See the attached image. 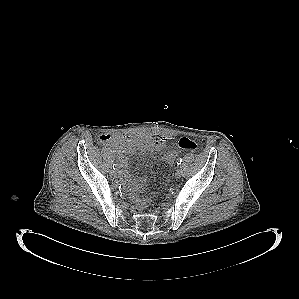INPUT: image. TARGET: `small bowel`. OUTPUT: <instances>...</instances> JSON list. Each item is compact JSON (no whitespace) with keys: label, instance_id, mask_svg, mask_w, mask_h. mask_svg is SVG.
I'll return each instance as SVG.
<instances>
[{"label":"small bowel","instance_id":"obj_1","mask_svg":"<svg viewBox=\"0 0 299 299\" xmlns=\"http://www.w3.org/2000/svg\"><path fill=\"white\" fill-rule=\"evenodd\" d=\"M99 140L102 144L112 147L117 153L123 181L137 189L145 186L146 179H133L131 177L127 156L137 152L161 150L167 142V138L162 136H129L124 134H103ZM177 156L178 152L176 150H169L162 156V161L168 165H172Z\"/></svg>","mask_w":299,"mask_h":299}]
</instances>
